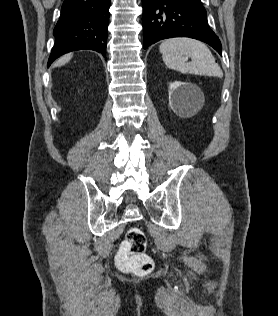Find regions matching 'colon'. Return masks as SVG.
Listing matches in <instances>:
<instances>
[{"label": "colon", "mask_w": 278, "mask_h": 316, "mask_svg": "<svg viewBox=\"0 0 278 316\" xmlns=\"http://www.w3.org/2000/svg\"><path fill=\"white\" fill-rule=\"evenodd\" d=\"M147 238L142 229L131 227L126 233L116 255L117 267L124 272L147 274L153 269V261L146 254Z\"/></svg>", "instance_id": "5ec220e1"}]
</instances>
